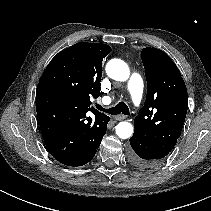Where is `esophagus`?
I'll list each match as a JSON object with an SVG mask.
<instances>
[{"label":"esophagus","instance_id":"1","mask_svg":"<svg viewBox=\"0 0 211 211\" xmlns=\"http://www.w3.org/2000/svg\"><path fill=\"white\" fill-rule=\"evenodd\" d=\"M125 118H126V116H125V115H122V114L116 115V116L114 117V119H115V120H118V121L124 120Z\"/></svg>","mask_w":211,"mask_h":211}]
</instances>
